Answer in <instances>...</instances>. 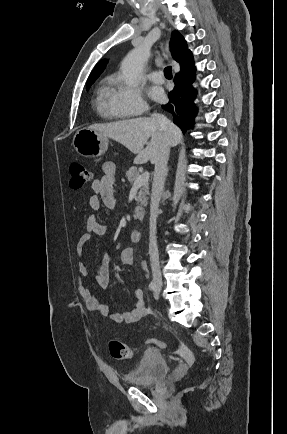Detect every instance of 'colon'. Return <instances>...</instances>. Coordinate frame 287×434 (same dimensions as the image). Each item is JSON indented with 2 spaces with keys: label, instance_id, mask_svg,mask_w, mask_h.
<instances>
[{
  "label": "colon",
  "instance_id": "5ec220e1",
  "mask_svg": "<svg viewBox=\"0 0 287 434\" xmlns=\"http://www.w3.org/2000/svg\"><path fill=\"white\" fill-rule=\"evenodd\" d=\"M70 174V187L72 189L81 188L93 179L92 171L80 163H73L70 166ZM146 344L149 347L160 349L167 347V344L159 339H149ZM109 351L111 356L118 360L132 359L134 357V351L131 347L115 339L109 342Z\"/></svg>",
  "mask_w": 287,
  "mask_h": 434
}]
</instances>
